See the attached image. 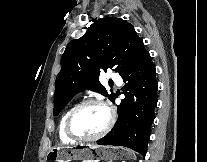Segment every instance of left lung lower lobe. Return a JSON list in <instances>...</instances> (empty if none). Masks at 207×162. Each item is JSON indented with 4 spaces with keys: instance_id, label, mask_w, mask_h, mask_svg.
Listing matches in <instances>:
<instances>
[{
    "instance_id": "0a47b994",
    "label": "left lung lower lobe",
    "mask_w": 207,
    "mask_h": 162,
    "mask_svg": "<svg viewBox=\"0 0 207 162\" xmlns=\"http://www.w3.org/2000/svg\"><path fill=\"white\" fill-rule=\"evenodd\" d=\"M155 72L150 54L145 51L121 75L126 82L124 86L126 98L117 106L118 121L115 127L97 143L124 146L143 156L146 155L150 127L158 100Z\"/></svg>"
}]
</instances>
